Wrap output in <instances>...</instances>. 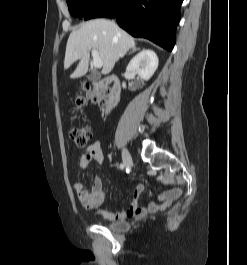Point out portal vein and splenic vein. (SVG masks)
<instances>
[{"label": "portal vein and splenic vein", "instance_id": "portal-vein-and-splenic-vein-1", "mask_svg": "<svg viewBox=\"0 0 247 265\" xmlns=\"http://www.w3.org/2000/svg\"><path fill=\"white\" fill-rule=\"evenodd\" d=\"M92 57H93V66L95 68H101L103 66V61L99 57L98 51L96 49L92 50Z\"/></svg>", "mask_w": 247, "mask_h": 265}]
</instances>
